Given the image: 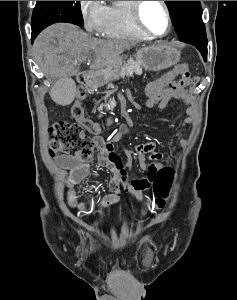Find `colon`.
Returning a JSON list of instances; mask_svg holds the SVG:
<instances>
[{
  "mask_svg": "<svg viewBox=\"0 0 237 300\" xmlns=\"http://www.w3.org/2000/svg\"><path fill=\"white\" fill-rule=\"evenodd\" d=\"M174 73L178 75L177 80L146 97L145 103L148 108L157 105L167 91L179 87L191 86L195 82V78L190 74L189 67L185 63L177 65ZM83 96L84 90L79 88L77 98L71 109L72 115L76 119L84 117L82 106ZM125 131L126 129L122 128L106 140L93 139L84 133L83 127L79 123L56 122L49 128L48 132L49 153L53 156L57 152H63L82 162H87L91 159L93 152L99 147L114 146ZM174 177L175 174L171 168H161L150 175L149 183L157 196L156 205L158 207L164 205L165 198L171 191Z\"/></svg>",
  "mask_w": 237,
  "mask_h": 300,
  "instance_id": "obj_1",
  "label": "colon"
}]
</instances>
